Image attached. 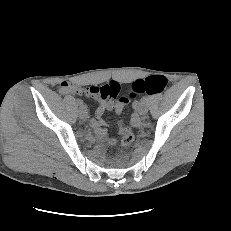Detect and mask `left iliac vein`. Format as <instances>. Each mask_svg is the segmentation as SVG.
Returning a JSON list of instances; mask_svg holds the SVG:
<instances>
[{
  "mask_svg": "<svg viewBox=\"0 0 231 231\" xmlns=\"http://www.w3.org/2000/svg\"><path fill=\"white\" fill-rule=\"evenodd\" d=\"M148 109H147V105L145 103H141L140 107H139V113L142 115L147 114Z\"/></svg>",
  "mask_w": 231,
  "mask_h": 231,
  "instance_id": "left-iliac-vein-1",
  "label": "left iliac vein"
}]
</instances>
